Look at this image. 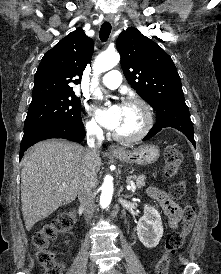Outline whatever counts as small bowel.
<instances>
[{
    "instance_id": "1",
    "label": "small bowel",
    "mask_w": 221,
    "mask_h": 274,
    "mask_svg": "<svg viewBox=\"0 0 221 274\" xmlns=\"http://www.w3.org/2000/svg\"><path fill=\"white\" fill-rule=\"evenodd\" d=\"M149 197L155 199L164 213L168 217L167 224L170 228H176L183 217V208L177 204L166 192L155 188L149 187L147 189Z\"/></svg>"
}]
</instances>
